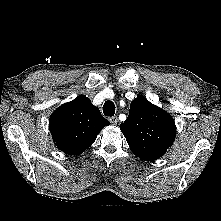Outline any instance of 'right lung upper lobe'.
I'll use <instances>...</instances> for the list:
<instances>
[{"label": "right lung upper lobe", "mask_w": 221, "mask_h": 221, "mask_svg": "<svg viewBox=\"0 0 221 221\" xmlns=\"http://www.w3.org/2000/svg\"><path fill=\"white\" fill-rule=\"evenodd\" d=\"M108 125L110 122L92 105L90 99L83 95L61 105L49 120L55 145L68 155L83 153Z\"/></svg>", "instance_id": "cb5924a9"}]
</instances>
